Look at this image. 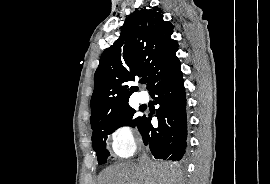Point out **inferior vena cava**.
<instances>
[{
	"label": "inferior vena cava",
	"mask_w": 270,
	"mask_h": 184,
	"mask_svg": "<svg viewBox=\"0 0 270 184\" xmlns=\"http://www.w3.org/2000/svg\"><path fill=\"white\" fill-rule=\"evenodd\" d=\"M140 163H142L143 165H149L151 163V160L146 156V154H144L142 159L140 160Z\"/></svg>",
	"instance_id": "obj_1"
}]
</instances>
